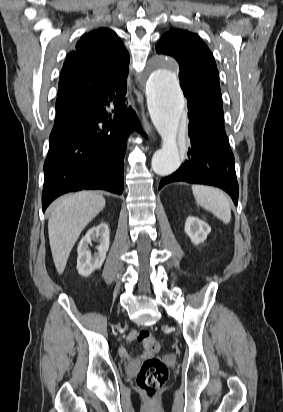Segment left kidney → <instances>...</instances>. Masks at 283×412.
Returning <instances> with one entry per match:
<instances>
[{
	"mask_svg": "<svg viewBox=\"0 0 283 412\" xmlns=\"http://www.w3.org/2000/svg\"><path fill=\"white\" fill-rule=\"evenodd\" d=\"M211 232L209 225L197 217L189 216L185 223V233L190 237L193 244L204 242Z\"/></svg>",
	"mask_w": 283,
	"mask_h": 412,
	"instance_id": "left-kidney-1",
	"label": "left kidney"
}]
</instances>
